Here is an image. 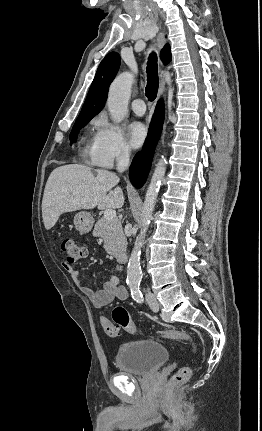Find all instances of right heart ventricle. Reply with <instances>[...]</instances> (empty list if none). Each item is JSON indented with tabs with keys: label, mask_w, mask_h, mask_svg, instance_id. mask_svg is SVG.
<instances>
[{
	"label": "right heart ventricle",
	"mask_w": 262,
	"mask_h": 431,
	"mask_svg": "<svg viewBox=\"0 0 262 431\" xmlns=\"http://www.w3.org/2000/svg\"><path fill=\"white\" fill-rule=\"evenodd\" d=\"M93 141H94V137L87 139V146L85 147L84 152L85 154L89 155L94 161Z\"/></svg>",
	"instance_id": "1"
}]
</instances>
